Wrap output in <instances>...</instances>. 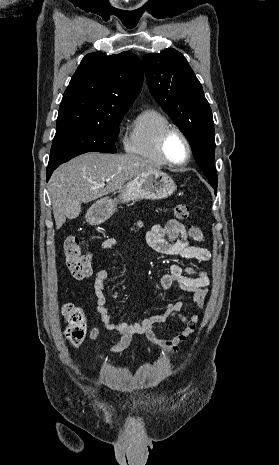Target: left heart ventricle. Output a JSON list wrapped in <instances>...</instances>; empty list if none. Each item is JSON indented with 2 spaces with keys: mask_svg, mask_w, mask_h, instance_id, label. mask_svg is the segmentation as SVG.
I'll use <instances>...</instances> for the list:
<instances>
[{
  "mask_svg": "<svg viewBox=\"0 0 279 465\" xmlns=\"http://www.w3.org/2000/svg\"><path fill=\"white\" fill-rule=\"evenodd\" d=\"M166 153L174 162H182L187 156V147L182 137L177 134H171L166 141Z\"/></svg>",
  "mask_w": 279,
  "mask_h": 465,
  "instance_id": "obj_1",
  "label": "left heart ventricle"
}]
</instances>
